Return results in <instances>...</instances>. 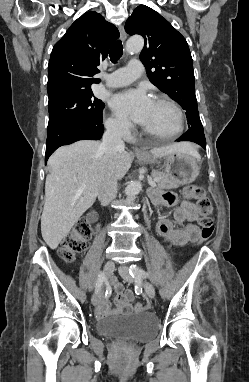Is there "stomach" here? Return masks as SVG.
I'll use <instances>...</instances> for the list:
<instances>
[{"mask_svg": "<svg viewBox=\"0 0 249 382\" xmlns=\"http://www.w3.org/2000/svg\"><path fill=\"white\" fill-rule=\"evenodd\" d=\"M137 157L144 163H160L158 157L148 153ZM163 162L166 174L179 180L183 185L193 182L199 174L197 160L190 153L177 151L163 157Z\"/></svg>", "mask_w": 249, "mask_h": 382, "instance_id": "obj_1", "label": "stomach"}]
</instances>
